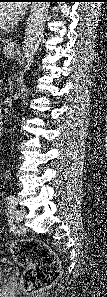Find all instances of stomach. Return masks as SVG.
<instances>
[{
  "label": "stomach",
  "instance_id": "1",
  "mask_svg": "<svg viewBox=\"0 0 107 297\" xmlns=\"http://www.w3.org/2000/svg\"><path fill=\"white\" fill-rule=\"evenodd\" d=\"M3 54L5 55V57L7 58H13L16 55V50L12 49V48H4L3 49Z\"/></svg>",
  "mask_w": 107,
  "mask_h": 297
}]
</instances>
